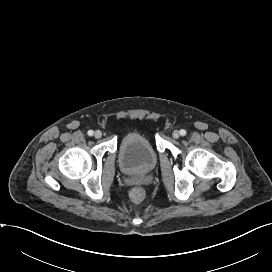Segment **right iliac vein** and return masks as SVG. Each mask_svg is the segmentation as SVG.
<instances>
[{
    "label": "right iliac vein",
    "mask_w": 272,
    "mask_h": 272,
    "mask_svg": "<svg viewBox=\"0 0 272 272\" xmlns=\"http://www.w3.org/2000/svg\"><path fill=\"white\" fill-rule=\"evenodd\" d=\"M94 137H95L96 139L101 138V137H102L101 131L97 130V131L94 133Z\"/></svg>",
    "instance_id": "obj_1"
}]
</instances>
